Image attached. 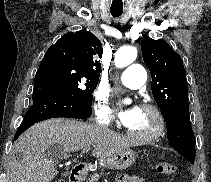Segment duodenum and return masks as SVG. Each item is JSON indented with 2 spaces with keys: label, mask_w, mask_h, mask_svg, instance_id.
I'll return each mask as SVG.
<instances>
[{
  "label": "duodenum",
  "mask_w": 211,
  "mask_h": 182,
  "mask_svg": "<svg viewBox=\"0 0 211 182\" xmlns=\"http://www.w3.org/2000/svg\"><path fill=\"white\" fill-rule=\"evenodd\" d=\"M84 176V167L79 165L72 169L70 174V182H82Z\"/></svg>",
  "instance_id": "410a0bca"
}]
</instances>
